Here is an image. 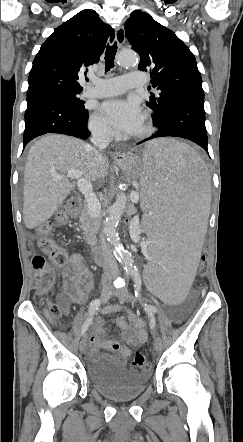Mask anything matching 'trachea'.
<instances>
[{"label":"trachea","mask_w":243,"mask_h":442,"mask_svg":"<svg viewBox=\"0 0 243 442\" xmlns=\"http://www.w3.org/2000/svg\"><path fill=\"white\" fill-rule=\"evenodd\" d=\"M117 52L116 42L113 45H107L105 51V71L108 72L114 67V58Z\"/></svg>","instance_id":"obj_1"}]
</instances>
